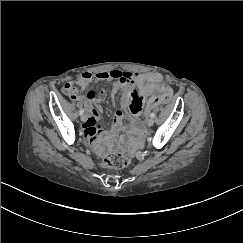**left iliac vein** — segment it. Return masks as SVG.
Returning a JSON list of instances; mask_svg holds the SVG:
<instances>
[{
	"instance_id": "4c4485c4",
	"label": "left iliac vein",
	"mask_w": 243,
	"mask_h": 243,
	"mask_svg": "<svg viewBox=\"0 0 243 243\" xmlns=\"http://www.w3.org/2000/svg\"><path fill=\"white\" fill-rule=\"evenodd\" d=\"M154 124V119L153 118H149L148 120H147V125L150 127V126H152Z\"/></svg>"
}]
</instances>
